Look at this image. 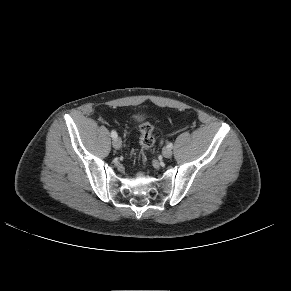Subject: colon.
<instances>
[{"mask_svg": "<svg viewBox=\"0 0 291 291\" xmlns=\"http://www.w3.org/2000/svg\"><path fill=\"white\" fill-rule=\"evenodd\" d=\"M139 143L142 148L148 149L154 145L155 139L153 136V125L146 121L140 125Z\"/></svg>", "mask_w": 291, "mask_h": 291, "instance_id": "obj_1", "label": "colon"}]
</instances>
